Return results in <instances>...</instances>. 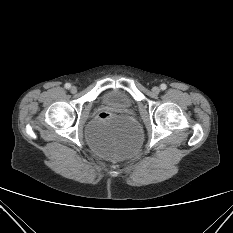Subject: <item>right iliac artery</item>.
<instances>
[{
    "label": "right iliac artery",
    "instance_id": "82829eb1",
    "mask_svg": "<svg viewBox=\"0 0 233 233\" xmlns=\"http://www.w3.org/2000/svg\"><path fill=\"white\" fill-rule=\"evenodd\" d=\"M65 88H66V89H70V88H71V84H70V83H66V84H65Z\"/></svg>",
    "mask_w": 233,
    "mask_h": 233
}]
</instances>
